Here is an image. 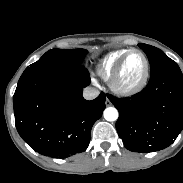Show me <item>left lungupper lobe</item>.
Returning a JSON list of instances; mask_svg holds the SVG:
<instances>
[{"label":"left lung upper lobe","instance_id":"left-lung-upper-lobe-1","mask_svg":"<svg viewBox=\"0 0 183 183\" xmlns=\"http://www.w3.org/2000/svg\"><path fill=\"white\" fill-rule=\"evenodd\" d=\"M138 46L146 53L150 62V75L160 71L178 66L175 61L170 59L162 50L147 44L140 43Z\"/></svg>","mask_w":183,"mask_h":183}]
</instances>
